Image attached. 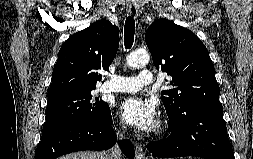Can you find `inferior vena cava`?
<instances>
[{
  "instance_id": "1",
  "label": "inferior vena cava",
  "mask_w": 253,
  "mask_h": 159,
  "mask_svg": "<svg viewBox=\"0 0 253 159\" xmlns=\"http://www.w3.org/2000/svg\"><path fill=\"white\" fill-rule=\"evenodd\" d=\"M117 135L122 138L123 137V134L122 133H117ZM120 156H121V151L120 149L118 148V146H114L112 149H110L108 152H107V159H120Z\"/></svg>"
}]
</instances>
